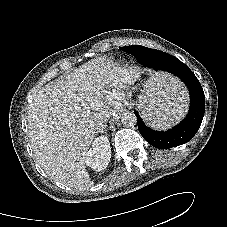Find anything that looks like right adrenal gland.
I'll return each mask as SVG.
<instances>
[{
  "label": "right adrenal gland",
  "instance_id": "obj_1",
  "mask_svg": "<svg viewBox=\"0 0 227 227\" xmlns=\"http://www.w3.org/2000/svg\"><path fill=\"white\" fill-rule=\"evenodd\" d=\"M105 128H106V126H103L102 128L99 129L98 132H99V133H105V130H104Z\"/></svg>",
  "mask_w": 227,
  "mask_h": 227
}]
</instances>
